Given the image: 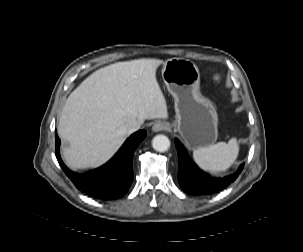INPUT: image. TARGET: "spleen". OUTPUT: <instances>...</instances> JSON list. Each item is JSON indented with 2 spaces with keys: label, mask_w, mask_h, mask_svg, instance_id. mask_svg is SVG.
I'll list each match as a JSON object with an SVG mask.
<instances>
[{
  "label": "spleen",
  "mask_w": 303,
  "mask_h": 252,
  "mask_svg": "<svg viewBox=\"0 0 303 252\" xmlns=\"http://www.w3.org/2000/svg\"><path fill=\"white\" fill-rule=\"evenodd\" d=\"M239 154V144L236 138L228 143L218 142L208 147L197 148L193 151L194 161L205 171L220 173L229 169Z\"/></svg>",
  "instance_id": "obj_1"
}]
</instances>
